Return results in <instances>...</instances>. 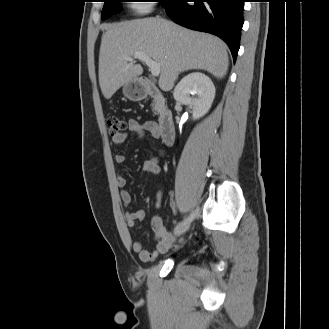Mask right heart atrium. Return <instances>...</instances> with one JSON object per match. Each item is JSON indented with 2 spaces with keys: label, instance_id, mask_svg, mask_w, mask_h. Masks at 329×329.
<instances>
[{
  "label": "right heart atrium",
  "instance_id": "d8ad5b80",
  "mask_svg": "<svg viewBox=\"0 0 329 329\" xmlns=\"http://www.w3.org/2000/svg\"><path fill=\"white\" fill-rule=\"evenodd\" d=\"M133 3H131V8L133 9V11L138 12V13H142L145 12L147 10H149L151 8V1L149 0H135L132 1Z\"/></svg>",
  "mask_w": 329,
  "mask_h": 329
}]
</instances>
